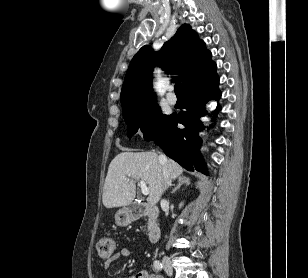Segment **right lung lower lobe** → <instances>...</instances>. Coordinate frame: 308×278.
Returning a JSON list of instances; mask_svg holds the SVG:
<instances>
[{
	"label": "right lung lower lobe",
	"instance_id": "right-lung-lower-lobe-1",
	"mask_svg": "<svg viewBox=\"0 0 308 278\" xmlns=\"http://www.w3.org/2000/svg\"><path fill=\"white\" fill-rule=\"evenodd\" d=\"M217 74L205 77L195 86L184 92L185 112L172 114L162 132L153 140L163 149L164 153L190 171H200L207 174L203 158L199 152L201 140L198 135L204 126L200 117L206 114L205 104L210 99L218 100L221 93L218 89ZM210 93V94H208ZM220 110V106L217 107ZM181 123L184 129H179Z\"/></svg>",
	"mask_w": 308,
	"mask_h": 278
}]
</instances>
